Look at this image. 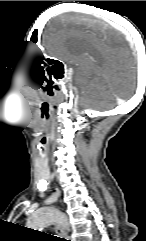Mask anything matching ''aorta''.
Listing matches in <instances>:
<instances>
[{
    "mask_svg": "<svg viewBox=\"0 0 146 241\" xmlns=\"http://www.w3.org/2000/svg\"><path fill=\"white\" fill-rule=\"evenodd\" d=\"M52 223H60L65 227L68 226L66 216L54 207L39 208L32 213L27 221L28 227L35 230H41Z\"/></svg>",
    "mask_w": 146,
    "mask_h": 241,
    "instance_id": "obj_1",
    "label": "aorta"
}]
</instances>
